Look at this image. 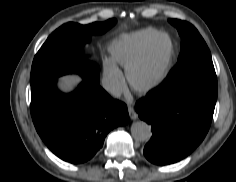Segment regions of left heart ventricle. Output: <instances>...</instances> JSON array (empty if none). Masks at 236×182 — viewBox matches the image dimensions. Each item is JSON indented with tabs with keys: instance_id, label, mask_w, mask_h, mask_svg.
Instances as JSON below:
<instances>
[{
	"instance_id": "left-heart-ventricle-1",
	"label": "left heart ventricle",
	"mask_w": 236,
	"mask_h": 182,
	"mask_svg": "<svg viewBox=\"0 0 236 182\" xmlns=\"http://www.w3.org/2000/svg\"><path fill=\"white\" fill-rule=\"evenodd\" d=\"M170 43L166 37L154 45L148 58L135 70L133 79L137 83L152 81L164 69L169 58Z\"/></svg>"
}]
</instances>
